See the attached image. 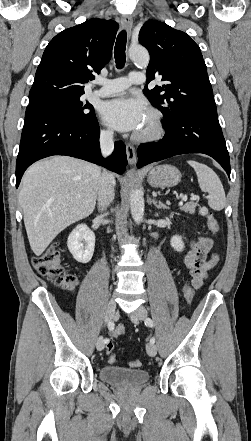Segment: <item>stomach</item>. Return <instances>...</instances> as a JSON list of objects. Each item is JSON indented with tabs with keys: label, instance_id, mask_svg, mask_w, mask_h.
<instances>
[{
	"label": "stomach",
	"instance_id": "stomach-1",
	"mask_svg": "<svg viewBox=\"0 0 251 441\" xmlns=\"http://www.w3.org/2000/svg\"><path fill=\"white\" fill-rule=\"evenodd\" d=\"M147 180L154 188L174 187L180 182L181 173L175 166L159 165L149 171Z\"/></svg>",
	"mask_w": 251,
	"mask_h": 441
}]
</instances>
